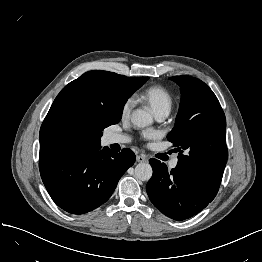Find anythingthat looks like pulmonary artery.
Wrapping results in <instances>:
<instances>
[{
	"label": "pulmonary artery",
	"mask_w": 262,
	"mask_h": 262,
	"mask_svg": "<svg viewBox=\"0 0 262 262\" xmlns=\"http://www.w3.org/2000/svg\"><path fill=\"white\" fill-rule=\"evenodd\" d=\"M169 115V110H163L156 113V118L159 121L164 120ZM107 141L109 144H125L129 141V138L125 135L118 134V133H110L107 136ZM177 165V160H173L170 163V167L174 168Z\"/></svg>",
	"instance_id": "e3ab8cb5"
}]
</instances>
